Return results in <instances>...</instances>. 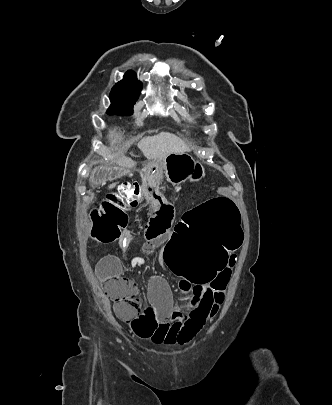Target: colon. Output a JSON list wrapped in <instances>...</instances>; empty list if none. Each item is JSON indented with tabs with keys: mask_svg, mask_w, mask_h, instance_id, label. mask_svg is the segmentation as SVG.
Listing matches in <instances>:
<instances>
[{
	"mask_svg": "<svg viewBox=\"0 0 332 405\" xmlns=\"http://www.w3.org/2000/svg\"><path fill=\"white\" fill-rule=\"evenodd\" d=\"M141 191L140 184L127 182L108 191L91 213L92 238L100 243L117 240L127 226L129 210L143 206ZM239 219L238 204L231 202V197H208L207 202L191 205L187 220H177L170 240H166L163 268H168V275H180V281H192L193 287H206L210 281L207 320L218 313L225 300L232 266L227 258L234 257L243 243ZM103 287L118 316H138L141 298L131 279L111 276Z\"/></svg>",
	"mask_w": 332,
	"mask_h": 405,
	"instance_id": "colon-1",
	"label": "colon"
}]
</instances>
